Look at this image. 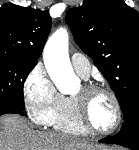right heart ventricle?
I'll use <instances>...</instances> for the list:
<instances>
[{
  "label": "right heart ventricle",
  "instance_id": "1",
  "mask_svg": "<svg viewBox=\"0 0 139 150\" xmlns=\"http://www.w3.org/2000/svg\"><path fill=\"white\" fill-rule=\"evenodd\" d=\"M49 126L54 130L75 134L86 135L88 132L80 124L73 97L62 96L61 100L50 117Z\"/></svg>",
  "mask_w": 139,
  "mask_h": 150
}]
</instances>
